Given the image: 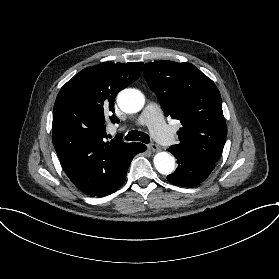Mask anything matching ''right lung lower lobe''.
<instances>
[{"mask_svg":"<svg viewBox=\"0 0 279 279\" xmlns=\"http://www.w3.org/2000/svg\"><path fill=\"white\" fill-rule=\"evenodd\" d=\"M136 152L137 153H140V152H143L146 150V146L145 145H140V146H137L136 147ZM136 153V154H137ZM135 154V155H136ZM134 155V156H135ZM133 159V158H132ZM131 159V160H132ZM131 163V161H130ZM130 163L126 166V168L121 172V174L117 177V179L102 193L100 194L98 197H104V196H107L113 192H115L117 189H119L123 183L125 182L126 180V172H127V168L129 167Z\"/></svg>","mask_w":279,"mask_h":279,"instance_id":"obj_1","label":"right lung lower lobe"}]
</instances>
